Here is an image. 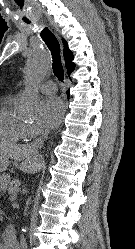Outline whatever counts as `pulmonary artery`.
I'll use <instances>...</instances> for the list:
<instances>
[{"label":"pulmonary artery","mask_w":135,"mask_h":249,"mask_svg":"<svg viewBox=\"0 0 135 249\" xmlns=\"http://www.w3.org/2000/svg\"><path fill=\"white\" fill-rule=\"evenodd\" d=\"M38 89L45 94H53L57 91V86L53 81H47L39 85Z\"/></svg>","instance_id":"obj_1"}]
</instances>
